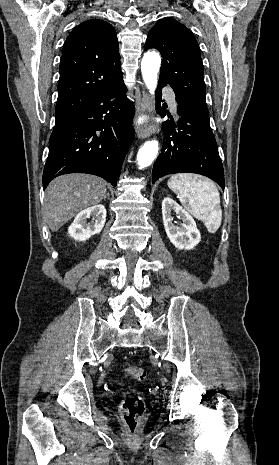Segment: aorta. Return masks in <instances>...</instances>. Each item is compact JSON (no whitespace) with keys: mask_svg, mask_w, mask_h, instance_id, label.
Masks as SVG:
<instances>
[{"mask_svg":"<svg viewBox=\"0 0 279 465\" xmlns=\"http://www.w3.org/2000/svg\"><path fill=\"white\" fill-rule=\"evenodd\" d=\"M161 66L160 55L156 52H147L144 54L141 61V72L144 83L153 95L157 86L158 73ZM159 143L157 140L146 141L139 149L137 154V162L139 169H143L151 165L158 153Z\"/></svg>","mask_w":279,"mask_h":465,"instance_id":"obj_1","label":"aorta"}]
</instances>
